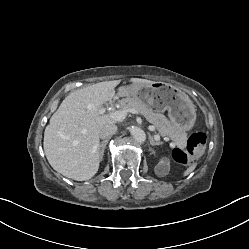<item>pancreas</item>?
I'll use <instances>...</instances> for the list:
<instances>
[{
  "instance_id": "pancreas-1",
  "label": "pancreas",
  "mask_w": 249,
  "mask_h": 249,
  "mask_svg": "<svg viewBox=\"0 0 249 249\" xmlns=\"http://www.w3.org/2000/svg\"><path fill=\"white\" fill-rule=\"evenodd\" d=\"M123 108H133L140 112L150 123H152L162 136L173 141V144L184 149L187 141V134L178 126L169 121L163 114L154 112L145 104L134 98H126L120 102Z\"/></svg>"
}]
</instances>
